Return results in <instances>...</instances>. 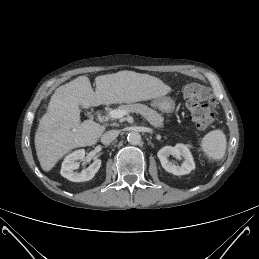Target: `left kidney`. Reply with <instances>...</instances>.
Here are the masks:
<instances>
[{
  "label": "left kidney",
  "mask_w": 259,
  "mask_h": 259,
  "mask_svg": "<svg viewBox=\"0 0 259 259\" xmlns=\"http://www.w3.org/2000/svg\"><path fill=\"white\" fill-rule=\"evenodd\" d=\"M171 155L179 159H184L181 166L175 165L174 163L169 161L168 158ZM157 156L161 162L162 167L167 172L174 175H185L195 169V163L191 152L184 144H176L174 147L165 146L158 151Z\"/></svg>",
  "instance_id": "obj_1"
}]
</instances>
